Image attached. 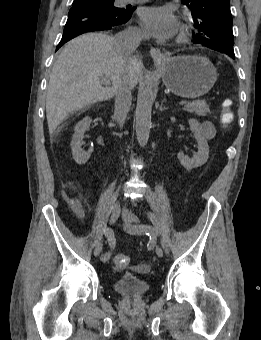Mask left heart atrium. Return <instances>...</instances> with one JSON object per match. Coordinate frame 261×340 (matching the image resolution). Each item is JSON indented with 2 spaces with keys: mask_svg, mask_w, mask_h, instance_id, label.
Here are the masks:
<instances>
[{
  "mask_svg": "<svg viewBox=\"0 0 261 340\" xmlns=\"http://www.w3.org/2000/svg\"><path fill=\"white\" fill-rule=\"evenodd\" d=\"M139 18L148 35L159 40L171 38L178 28L176 17L164 6L145 7Z\"/></svg>",
  "mask_w": 261,
  "mask_h": 340,
  "instance_id": "1",
  "label": "left heart atrium"
}]
</instances>
